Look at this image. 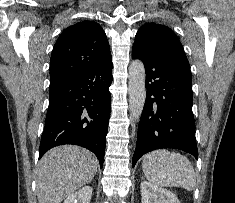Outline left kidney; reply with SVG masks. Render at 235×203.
I'll return each instance as SVG.
<instances>
[{"label": "left kidney", "mask_w": 235, "mask_h": 203, "mask_svg": "<svg viewBox=\"0 0 235 203\" xmlns=\"http://www.w3.org/2000/svg\"><path fill=\"white\" fill-rule=\"evenodd\" d=\"M140 189L142 203H180L173 192L150 182H141Z\"/></svg>", "instance_id": "1"}]
</instances>
